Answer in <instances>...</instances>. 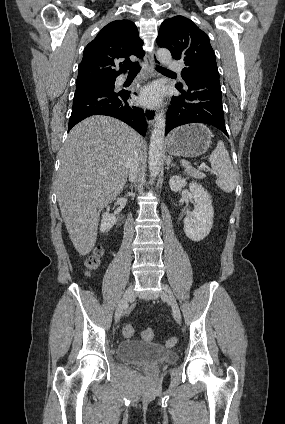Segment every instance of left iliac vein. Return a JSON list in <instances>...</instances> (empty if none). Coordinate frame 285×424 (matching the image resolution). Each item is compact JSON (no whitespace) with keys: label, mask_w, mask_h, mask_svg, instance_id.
<instances>
[{"label":"left iliac vein","mask_w":285,"mask_h":424,"mask_svg":"<svg viewBox=\"0 0 285 424\" xmlns=\"http://www.w3.org/2000/svg\"><path fill=\"white\" fill-rule=\"evenodd\" d=\"M161 297L170 304L175 320L178 323H180L181 322L180 309L176 303L174 296L171 294V292L168 290V288L164 284H162Z\"/></svg>","instance_id":"4c4485c4"}]
</instances>
